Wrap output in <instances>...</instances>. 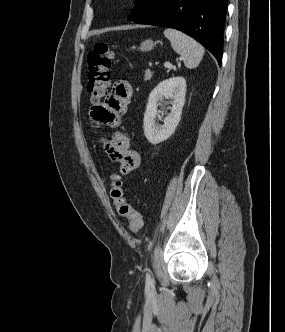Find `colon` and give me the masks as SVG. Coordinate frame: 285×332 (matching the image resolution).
I'll use <instances>...</instances> for the list:
<instances>
[{"label": "colon", "instance_id": "obj_1", "mask_svg": "<svg viewBox=\"0 0 285 332\" xmlns=\"http://www.w3.org/2000/svg\"><path fill=\"white\" fill-rule=\"evenodd\" d=\"M117 49L104 43H97L89 52L88 62V83L87 90L90 101L97 105L107 94L110 83V68ZM110 178V197L118 214L128 221V229L136 234L143 226V217L130 203H128L123 189V182L118 173L111 170Z\"/></svg>", "mask_w": 285, "mask_h": 332}]
</instances>
